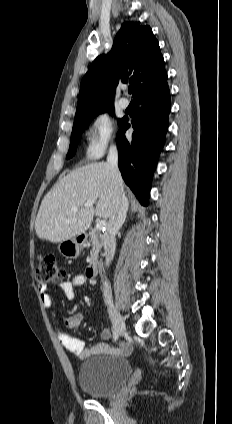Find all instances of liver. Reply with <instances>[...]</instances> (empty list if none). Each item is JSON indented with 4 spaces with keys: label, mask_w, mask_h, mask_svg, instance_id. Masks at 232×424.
I'll return each mask as SVG.
<instances>
[{
    "label": "liver",
    "mask_w": 232,
    "mask_h": 424,
    "mask_svg": "<svg viewBox=\"0 0 232 424\" xmlns=\"http://www.w3.org/2000/svg\"><path fill=\"white\" fill-rule=\"evenodd\" d=\"M114 187L107 163L76 168L43 198L35 221L37 236L59 243L88 230L94 215L109 219L114 210ZM88 201H97L96 207H86ZM73 207L78 210L72 211Z\"/></svg>",
    "instance_id": "1"
}]
</instances>
